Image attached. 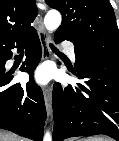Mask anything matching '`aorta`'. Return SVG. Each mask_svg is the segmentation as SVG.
Returning <instances> with one entry per match:
<instances>
[{"label":"aorta","instance_id":"1","mask_svg":"<svg viewBox=\"0 0 119 141\" xmlns=\"http://www.w3.org/2000/svg\"><path fill=\"white\" fill-rule=\"evenodd\" d=\"M44 24H45V27L48 31H54L56 30L60 24H61V15L58 11L56 10H50L45 18H44ZM44 141H52V137L50 135L49 132H47L45 135H44Z\"/></svg>","mask_w":119,"mask_h":141}]
</instances>
